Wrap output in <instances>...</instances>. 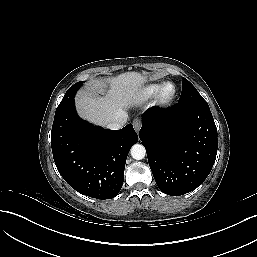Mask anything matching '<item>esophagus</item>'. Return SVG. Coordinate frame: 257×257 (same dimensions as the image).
<instances>
[{"instance_id": "esophagus-1", "label": "esophagus", "mask_w": 257, "mask_h": 257, "mask_svg": "<svg viewBox=\"0 0 257 257\" xmlns=\"http://www.w3.org/2000/svg\"><path fill=\"white\" fill-rule=\"evenodd\" d=\"M133 127H134L135 131L138 132L141 128V121L139 119H135L133 121Z\"/></svg>"}]
</instances>
